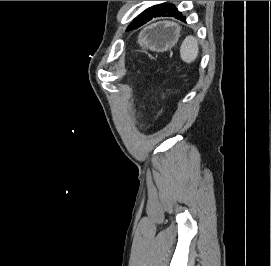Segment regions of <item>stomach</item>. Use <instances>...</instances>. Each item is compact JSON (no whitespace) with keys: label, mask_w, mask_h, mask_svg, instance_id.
I'll return each instance as SVG.
<instances>
[{"label":"stomach","mask_w":271,"mask_h":266,"mask_svg":"<svg viewBox=\"0 0 271 266\" xmlns=\"http://www.w3.org/2000/svg\"><path fill=\"white\" fill-rule=\"evenodd\" d=\"M178 36L177 26L170 23H158L139 34L138 44L145 50L163 52L176 44Z\"/></svg>","instance_id":"stomach-1"}]
</instances>
